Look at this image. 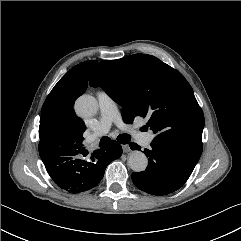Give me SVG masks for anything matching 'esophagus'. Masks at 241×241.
I'll return each mask as SVG.
<instances>
[{
  "mask_svg": "<svg viewBox=\"0 0 241 241\" xmlns=\"http://www.w3.org/2000/svg\"><path fill=\"white\" fill-rule=\"evenodd\" d=\"M122 149L124 153H128L130 151L129 145H122Z\"/></svg>",
  "mask_w": 241,
  "mask_h": 241,
  "instance_id": "esophagus-1",
  "label": "esophagus"
}]
</instances>
